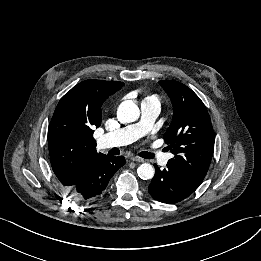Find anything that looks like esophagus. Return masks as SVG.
<instances>
[{
    "label": "esophagus",
    "instance_id": "esophagus-1",
    "mask_svg": "<svg viewBox=\"0 0 261 261\" xmlns=\"http://www.w3.org/2000/svg\"><path fill=\"white\" fill-rule=\"evenodd\" d=\"M130 159H131L132 161H136V162H145L144 159H142V158H140V157H138V156H131Z\"/></svg>",
    "mask_w": 261,
    "mask_h": 261
}]
</instances>
